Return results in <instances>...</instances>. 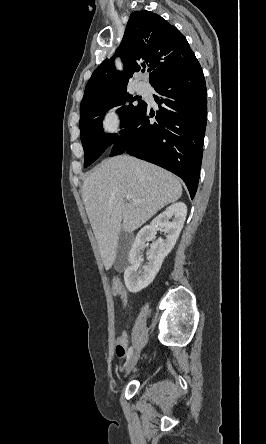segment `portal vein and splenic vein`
I'll return each mask as SVG.
<instances>
[{
  "instance_id": "portal-vein-and-splenic-vein-1",
  "label": "portal vein and splenic vein",
  "mask_w": 266,
  "mask_h": 444,
  "mask_svg": "<svg viewBox=\"0 0 266 444\" xmlns=\"http://www.w3.org/2000/svg\"><path fill=\"white\" fill-rule=\"evenodd\" d=\"M126 199H127L128 201H133V202H135V203H138V201L135 200V199H133L130 195H127V196H126Z\"/></svg>"
}]
</instances>
